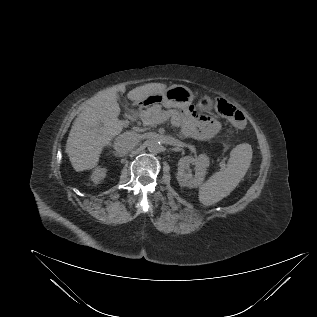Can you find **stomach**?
I'll return each mask as SVG.
<instances>
[{
	"instance_id": "0dacf381",
	"label": "stomach",
	"mask_w": 317,
	"mask_h": 317,
	"mask_svg": "<svg viewBox=\"0 0 317 317\" xmlns=\"http://www.w3.org/2000/svg\"><path fill=\"white\" fill-rule=\"evenodd\" d=\"M194 94L186 86L173 85L168 87L164 92L157 93L148 96L143 100V104L150 105H162L165 108H179L185 109L193 102ZM199 106L203 110L210 111L213 107V100L205 95L199 101Z\"/></svg>"
}]
</instances>
